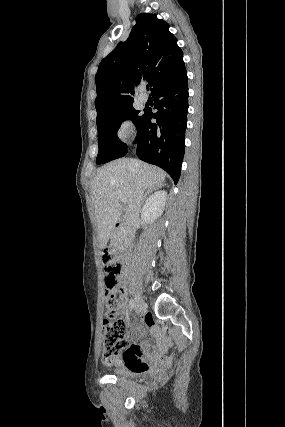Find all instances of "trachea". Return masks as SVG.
Segmentation results:
<instances>
[{"label": "trachea", "instance_id": "1", "mask_svg": "<svg viewBox=\"0 0 285 427\" xmlns=\"http://www.w3.org/2000/svg\"><path fill=\"white\" fill-rule=\"evenodd\" d=\"M146 89L149 90V86L148 85L146 86Z\"/></svg>", "mask_w": 285, "mask_h": 427}]
</instances>
